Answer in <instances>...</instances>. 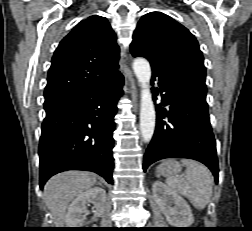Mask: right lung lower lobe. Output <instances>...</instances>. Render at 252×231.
<instances>
[{"label":"right lung lower lobe","mask_w":252,"mask_h":231,"mask_svg":"<svg viewBox=\"0 0 252 231\" xmlns=\"http://www.w3.org/2000/svg\"><path fill=\"white\" fill-rule=\"evenodd\" d=\"M123 76L83 89L46 111L39 143L40 188L62 171L86 170L112 183L114 116Z\"/></svg>","instance_id":"98d812e1"}]
</instances>
